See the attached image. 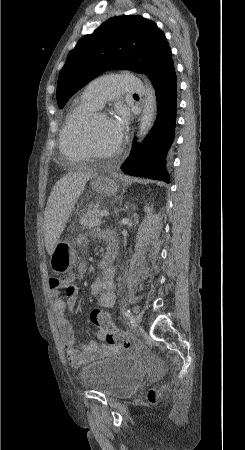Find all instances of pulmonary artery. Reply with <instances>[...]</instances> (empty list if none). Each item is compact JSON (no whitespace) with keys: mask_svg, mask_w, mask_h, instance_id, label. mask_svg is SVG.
Returning <instances> with one entry per match:
<instances>
[{"mask_svg":"<svg viewBox=\"0 0 245 450\" xmlns=\"http://www.w3.org/2000/svg\"><path fill=\"white\" fill-rule=\"evenodd\" d=\"M144 84L133 75H106L91 81L83 90V95L96 106H102L111 98L123 94L141 93Z\"/></svg>","mask_w":245,"mask_h":450,"instance_id":"obj_1","label":"pulmonary artery"}]
</instances>
